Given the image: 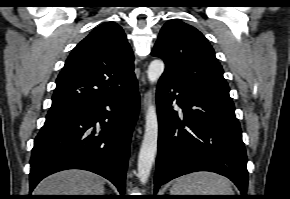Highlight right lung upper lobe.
Masks as SVG:
<instances>
[{
    "label": "right lung upper lobe",
    "instance_id": "cb5924a9",
    "mask_svg": "<svg viewBox=\"0 0 290 199\" xmlns=\"http://www.w3.org/2000/svg\"><path fill=\"white\" fill-rule=\"evenodd\" d=\"M134 55L122 28L106 22L71 52L56 80L48 114L90 103L126 90L134 81Z\"/></svg>",
    "mask_w": 290,
    "mask_h": 199
}]
</instances>
